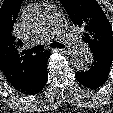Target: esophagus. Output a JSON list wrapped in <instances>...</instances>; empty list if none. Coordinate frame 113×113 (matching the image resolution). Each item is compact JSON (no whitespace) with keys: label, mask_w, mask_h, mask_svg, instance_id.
I'll list each match as a JSON object with an SVG mask.
<instances>
[{"label":"esophagus","mask_w":113,"mask_h":113,"mask_svg":"<svg viewBox=\"0 0 113 113\" xmlns=\"http://www.w3.org/2000/svg\"><path fill=\"white\" fill-rule=\"evenodd\" d=\"M55 51H58V52H62V53H65V54H71L72 53V50L71 49H68V48H56L54 49Z\"/></svg>","instance_id":"34e87169"}]
</instances>
